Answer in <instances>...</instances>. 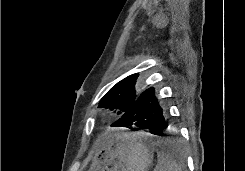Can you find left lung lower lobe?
I'll return each instance as SVG.
<instances>
[{
  "mask_svg": "<svg viewBox=\"0 0 245 171\" xmlns=\"http://www.w3.org/2000/svg\"><path fill=\"white\" fill-rule=\"evenodd\" d=\"M168 125V111L151 87L140 94L133 106L111 126L129 127L133 131L148 129L151 134L165 136Z\"/></svg>",
  "mask_w": 245,
  "mask_h": 171,
  "instance_id": "obj_1",
  "label": "left lung lower lobe"
}]
</instances>
